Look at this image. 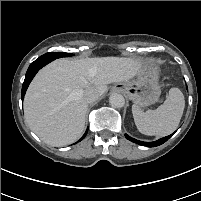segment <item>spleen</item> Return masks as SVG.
<instances>
[{
    "label": "spleen",
    "instance_id": "3e777b00",
    "mask_svg": "<svg viewBox=\"0 0 201 201\" xmlns=\"http://www.w3.org/2000/svg\"><path fill=\"white\" fill-rule=\"evenodd\" d=\"M185 107V100L179 88H171L167 98L156 110L143 112L135 104L132 113L138 130L149 136H166L176 130Z\"/></svg>",
    "mask_w": 201,
    "mask_h": 201
}]
</instances>
